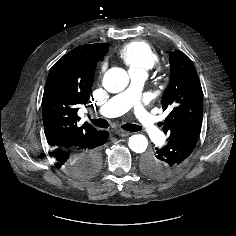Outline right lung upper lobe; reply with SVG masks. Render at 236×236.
I'll return each instance as SVG.
<instances>
[{"mask_svg":"<svg viewBox=\"0 0 236 236\" xmlns=\"http://www.w3.org/2000/svg\"><path fill=\"white\" fill-rule=\"evenodd\" d=\"M108 44L79 46L51 68L42 98V116L47 142L52 151H85L102 131L89 123L77 125L78 106L87 104L97 62L108 52Z\"/></svg>","mask_w":236,"mask_h":236,"instance_id":"cb5924a9","label":"right lung upper lobe"}]
</instances>
